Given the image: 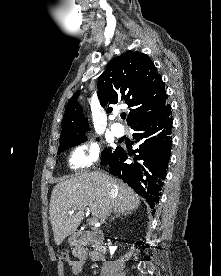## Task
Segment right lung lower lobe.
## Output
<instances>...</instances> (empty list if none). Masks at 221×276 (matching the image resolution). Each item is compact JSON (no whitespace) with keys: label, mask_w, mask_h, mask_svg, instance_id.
Masks as SVG:
<instances>
[{"label":"right lung lower lobe","mask_w":221,"mask_h":276,"mask_svg":"<svg viewBox=\"0 0 221 276\" xmlns=\"http://www.w3.org/2000/svg\"><path fill=\"white\" fill-rule=\"evenodd\" d=\"M135 130L133 138L139 147L133 163H125L128 155L119 147L112 158L103 165L127 183L151 208H155L167 174L172 146L171 106L167 104L157 114L137 121L130 126Z\"/></svg>","instance_id":"right-lung-lower-lobe-1"}]
</instances>
